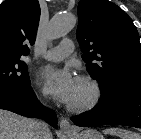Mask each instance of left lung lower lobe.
I'll use <instances>...</instances> for the list:
<instances>
[{"instance_id":"obj_1","label":"left lung lower lobe","mask_w":141,"mask_h":139,"mask_svg":"<svg viewBox=\"0 0 141 139\" xmlns=\"http://www.w3.org/2000/svg\"><path fill=\"white\" fill-rule=\"evenodd\" d=\"M71 120L84 127L113 124L141 128V85L125 86L102 96L92 110Z\"/></svg>"}]
</instances>
